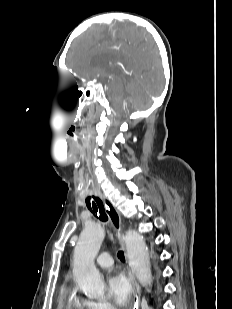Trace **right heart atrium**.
Listing matches in <instances>:
<instances>
[{
    "instance_id": "right-heart-atrium-1",
    "label": "right heart atrium",
    "mask_w": 232,
    "mask_h": 309,
    "mask_svg": "<svg viewBox=\"0 0 232 309\" xmlns=\"http://www.w3.org/2000/svg\"><path fill=\"white\" fill-rule=\"evenodd\" d=\"M87 309H114L112 304L104 300H84Z\"/></svg>"
}]
</instances>
